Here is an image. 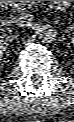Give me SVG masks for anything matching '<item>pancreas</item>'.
<instances>
[{
  "label": "pancreas",
  "instance_id": "1",
  "mask_svg": "<svg viewBox=\"0 0 74 122\" xmlns=\"http://www.w3.org/2000/svg\"><path fill=\"white\" fill-rule=\"evenodd\" d=\"M40 1H10V5L15 9H33Z\"/></svg>",
  "mask_w": 74,
  "mask_h": 122
}]
</instances>
